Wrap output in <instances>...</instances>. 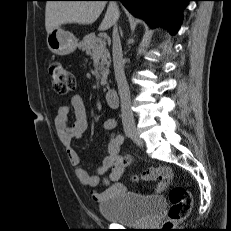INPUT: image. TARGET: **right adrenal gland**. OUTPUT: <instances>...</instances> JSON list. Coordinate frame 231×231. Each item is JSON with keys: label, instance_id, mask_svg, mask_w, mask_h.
Returning <instances> with one entry per match:
<instances>
[{"label": "right adrenal gland", "instance_id": "1", "mask_svg": "<svg viewBox=\"0 0 231 231\" xmlns=\"http://www.w3.org/2000/svg\"><path fill=\"white\" fill-rule=\"evenodd\" d=\"M120 33H121V35H122V30L120 29Z\"/></svg>", "mask_w": 231, "mask_h": 231}]
</instances>
